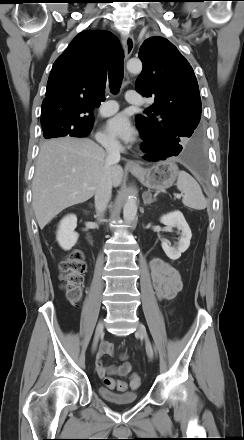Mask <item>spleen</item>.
Here are the masks:
<instances>
[{
  "label": "spleen",
  "mask_w": 244,
  "mask_h": 440,
  "mask_svg": "<svg viewBox=\"0 0 244 440\" xmlns=\"http://www.w3.org/2000/svg\"><path fill=\"white\" fill-rule=\"evenodd\" d=\"M177 188L183 193L182 203L191 209L203 210L207 207L201 187L197 181L185 171H179Z\"/></svg>",
  "instance_id": "obj_1"
}]
</instances>
